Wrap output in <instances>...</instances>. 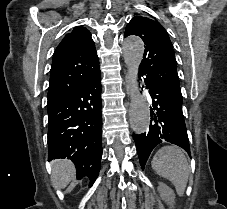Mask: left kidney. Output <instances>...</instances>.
<instances>
[{
	"instance_id": "left-kidney-1",
	"label": "left kidney",
	"mask_w": 227,
	"mask_h": 209,
	"mask_svg": "<svg viewBox=\"0 0 227 209\" xmlns=\"http://www.w3.org/2000/svg\"><path fill=\"white\" fill-rule=\"evenodd\" d=\"M162 201H165L167 205H169V209H174V203H175V193L170 189V187H167V185H164V183H159V187L157 189Z\"/></svg>"
}]
</instances>
